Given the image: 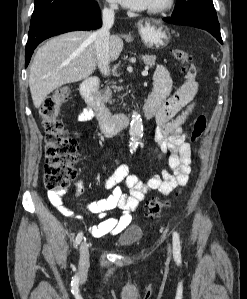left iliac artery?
Here are the masks:
<instances>
[{"label":"left iliac artery","mask_w":247,"mask_h":299,"mask_svg":"<svg viewBox=\"0 0 247 299\" xmlns=\"http://www.w3.org/2000/svg\"><path fill=\"white\" fill-rule=\"evenodd\" d=\"M173 253L177 263H181L180 237L177 232H173Z\"/></svg>","instance_id":"left-iliac-artery-1"}]
</instances>
